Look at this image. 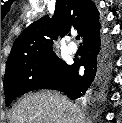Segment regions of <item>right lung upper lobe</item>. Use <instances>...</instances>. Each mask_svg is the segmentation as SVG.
I'll return each instance as SVG.
<instances>
[{"instance_id":"1","label":"right lung upper lobe","mask_w":122,"mask_h":123,"mask_svg":"<svg viewBox=\"0 0 122 123\" xmlns=\"http://www.w3.org/2000/svg\"><path fill=\"white\" fill-rule=\"evenodd\" d=\"M74 28L83 41L100 29L99 12L91 0H56L53 18L48 15L29 25L16 39L6 68L39 55L53 53V40Z\"/></svg>"}]
</instances>
